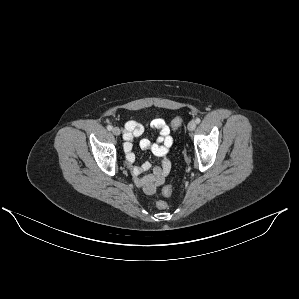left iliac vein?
Listing matches in <instances>:
<instances>
[{"label": "left iliac vein", "mask_w": 299, "mask_h": 299, "mask_svg": "<svg viewBox=\"0 0 299 299\" xmlns=\"http://www.w3.org/2000/svg\"><path fill=\"white\" fill-rule=\"evenodd\" d=\"M187 128H188L189 131H193L196 128V122L195 121H190L188 123Z\"/></svg>", "instance_id": "obj_1"}]
</instances>
